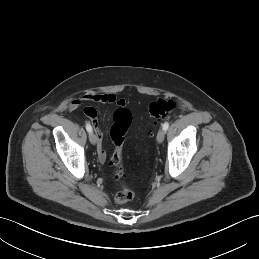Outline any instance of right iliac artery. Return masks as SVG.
<instances>
[{
  "label": "right iliac artery",
  "instance_id": "1",
  "mask_svg": "<svg viewBox=\"0 0 259 259\" xmlns=\"http://www.w3.org/2000/svg\"><path fill=\"white\" fill-rule=\"evenodd\" d=\"M86 129H87V131L89 132V133H91L92 132V127H91V125L90 124H86Z\"/></svg>",
  "mask_w": 259,
  "mask_h": 259
}]
</instances>
